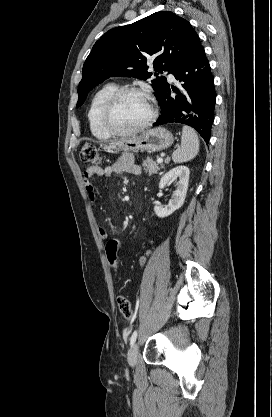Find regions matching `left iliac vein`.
I'll return each mask as SVG.
<instances>
[{
    "label": "left iliac vein",
    "instance_id": "4c4485c4",
    "mask_svg": "<svg viewBox=\"0 0 272 417\" xmlns=\"http://www.w3.org/2000/svg\"><path fill=\"white\" fill-rule=\"evenodd\" d=\"M138 353H139V347H138V344L136 343L128 351L127 359H128V363L130 366L133 367L136 364L137 359H138Z\"/></svg>",
    "mask_w": 272,
    "mask_h": 417
}]
</instances>
